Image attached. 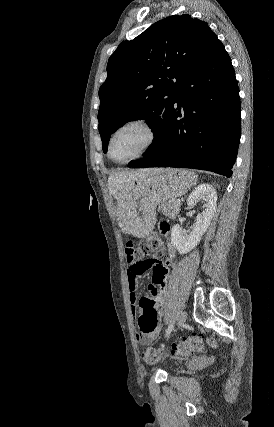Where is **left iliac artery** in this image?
I'll return each mask as SVG.
<instances>
[{
  "instance_id": "obj_1",
  "label": "left iliac artery",
  "mask_w": 274,
  "mask_h": 427,
  "mask_svg": "<svg viewBox=\"0 0 274 427\" xmlns=\"http://www.w3.org/2000/svg\"><path fill=\"white\" fill-rule=\"evenodd\" d=\"M173 327H174V322H171L166 329V334H165L166 337H168L170 335Z\"/></svg>"
}]
</instances>
